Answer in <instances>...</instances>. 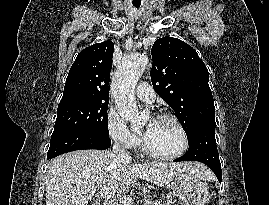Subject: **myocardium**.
<instances>
[{"label": "myocardium", "instance_id": "1", "mask_svg": "<svg viewBox=\"0 0 269 205\" xmlns=\"http://www.w3.org/2000/svg\"><path fill=\"white\" fill-rule=\"evenodd\" d=\"M156 120H167L172 122L177 129L179 130L182 139H183V145L181 147L180 150H178L177 152L171 153V154H160L157 153L153 150H151L148 145L145 142V139H142V144H141V149L142 151L149 157L154 158V159H159V160H172L175 158H178L180 156H182L189 148V144H190V140H189V136L187 133V130L185 128V126L183 125V123L173 114L170 113H160L157 115Z\"/></svg>", "mask_w": 269, "mask_h": 205}]
</instances>
